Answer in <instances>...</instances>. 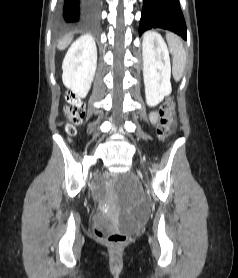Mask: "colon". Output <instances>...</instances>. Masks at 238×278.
Instances as JSON below:
<instances>
[{
	"instance_id": "1",
	"label": "colon",
	"mask_w": 238,
	"mask_h": 278,
	"mask_svg": "<svg viewBox=\"0 0 238 278\" xmlns=\"http://www.w3.org/2000/svg\"><path fill=\"white\" fill-rule=\"evenodd\" d=\"M67 106L65 112L68 115L69 122L66 125V131L69 135H74L77 130V126L80 124L85 110L82 104L78 101L75 95L69 93L66 96ZM160 126L158 128V134L161 138H165L169 135L171 125L174 120V104L171 99L166 100L160 108ZM115 176L111 173L104 174L105 185H114ZM95 234L101 240L113 245H123L128 236L125 232L118 229H109L103 226L97 225L94 228Z\"/></svg>"
}]
</instances>
